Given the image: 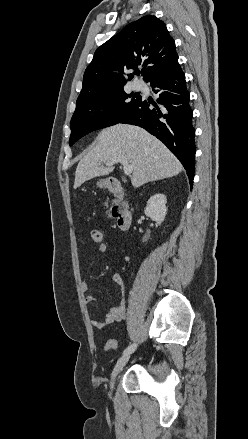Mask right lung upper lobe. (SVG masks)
<instances>
[{
    "instance_id": "obj_1",
    "label": "right lung upper lobe",
    "mask_w": 248,
    "mask_h": 439,
    "mask_svg": "<svg viewBox=\"0 0 248 439\" xmlns=\"http://www.w3.org/2000/svg\"><path fill=\"white\" fill-rule=\"evenodd\" d=\"M175 42L155 16H143L101 45L85 70L76 107L123 88L127 69L143 65L144 81L173 69L178 63ZM133 75L128 74V79Z\"/></svg>"
}]
</instances>
